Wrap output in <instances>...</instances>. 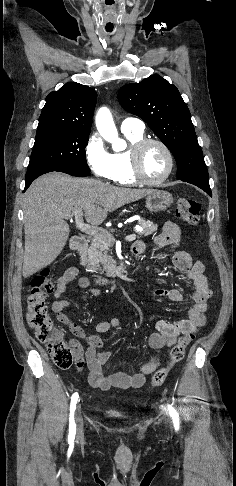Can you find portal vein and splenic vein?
Wrapping results in <instances>:
<instances>
[{
  "label": "portal vein and splenic vein",
  "mask_w": 236,
  "mask_h": 486,
  "mask_svg": "<svg viewBox=\"0 0 236 486\" xmlns=\"http://www.w3.org/2000/svg\"><path fill=\"white\" fill-rule=\"evenodd\" d=\"M73 216L75 217L76 226L81 232L88 234V235H91L95 238H104L105 236L109 235V233L104 229H101V228L94 226V225L84 223L83 217H82L83 212H82L81 209L76 210L71 214H63L62 215V217H64L65 219H70ZM125 239L127 241H133V240L136 239V234H130V235L126 236Z\"/></svg>",
  "instance_id": "obj_1"
}]
</instances>
